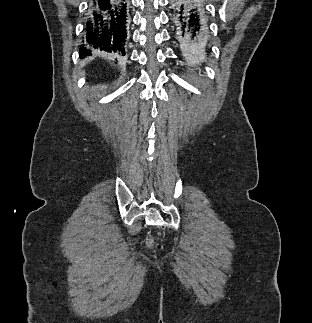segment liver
Instances as JSON below:
<instances>
[{
  "mask_svg": "<svg viewBox=\"0 0 312 323\" xmlns=\"http://www.w3.org/2000/svg\"><path fill=\"white\" fill-rule=\"evenodd\" d=\"M91 60H95L94 56H87V58H84V60H81L80 62V68H84L88 62H91Z\"/></svg>",
  "mask_w": 312,
  "mask_h": 323,
  "instance_id": "6515ba94",
  "label": "liver"
}]
</instances>
